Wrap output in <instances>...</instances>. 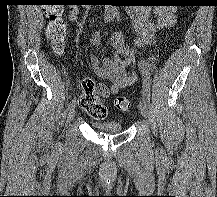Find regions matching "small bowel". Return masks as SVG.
I'll list each match as a JSON object with an SVG mask.
<instances>
[{
  "label": "small bowel",
  "mask_w": 217,
  "mask_h": 197,
  "mask_svg": "<svg viewBox=\"0 0 217 197\" xmlns=\"http://www.w3.org/2000/svg\"><path fill=\"white\" fill-rule=\"evenodd\" d=\"M174 7L171 5H160L152 11L143 7H132L129 9L130 16L134 19V27L138 38L133 48H129L121 33H114L111 38V46L114 53L107 56L100 63L96 55L91 56V64L95 73L102 79L109 80L111 87L104 97L110 93L116 94L120 90L132 86L138 75L133 70L135 61V49L141 45H150L155 35L161 31L171 28L175 22ZM156 19L151 20V16ZM69 20L74 22L79 17V8L76 5L69 7ZM101 44V34L93 32L90 36L92 49H97Z\"/></svg>",
  "instance_id": "obj_1"
}]
</instances>
